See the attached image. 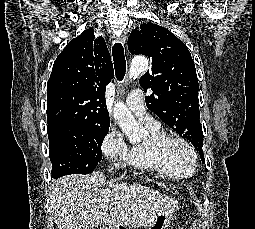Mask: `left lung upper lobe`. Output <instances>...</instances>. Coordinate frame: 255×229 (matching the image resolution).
<instances>
[{
    "label": "left lung upper lobe",
    "instance_id": "1",
    "mask_svg": "<svg viewBox=\"0 0 255 229\" xmlns=\"http://www.w3.org/2000/svg\"><path fill=\"white\" fill-rule=\"evenodd\" d=\"M131 54L151 60L141 78L146 106L199 151L202 162L203 132L198 104V79L186 45L168 29L153 23L140 25L128 38Z\"/></svg>",
    "mask_w": 255,
    "mask_h": 229
}]
</instances>
